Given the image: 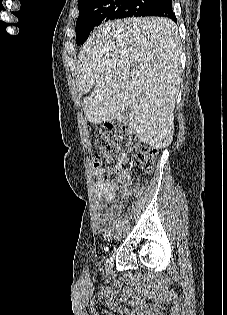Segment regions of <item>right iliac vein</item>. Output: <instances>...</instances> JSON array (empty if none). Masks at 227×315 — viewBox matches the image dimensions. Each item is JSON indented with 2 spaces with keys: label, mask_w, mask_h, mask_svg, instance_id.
Segmentation results:
<instances>
[{
  "label": "right iliac vein",
  "mask_w": 227,
  "mask_h": 315,
  "mask_svg": "<svg viewBox=\"0 0 227 315\" xmlns=\"http://www.w3.org/2000/svg\"><path fill=\"white\" fill-rule=\"evenodd\" d=\"M121 234H122V228L119 227V228L117 229L116 233H115V236L118 238V237L121 236Z\"/></svg>",
  "instance_id": "obj_1"
}]
</instances>
